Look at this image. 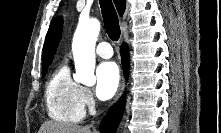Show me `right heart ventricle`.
Segmentation results:
<instances>
[{
  "instance_id": "e07e8e85",
  "label": "right heart ventricle",
  "mask_w": 221,
  "mask_h": 133,
  "mask_svg": "<svg viewBox=\"0 0 221 133\" xmlns=\"http://www.w3.org/2000/svg\"><path fill=\"white\" fill-rule=\"evenodd\" d=\"M80 86L67 66L58 67L47 81L45 101L48 115L61 124L79 123L84 116Z\"/></svg>"
}]
</instances>
